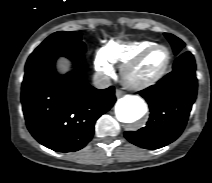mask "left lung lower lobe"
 Returning <instances> with one entry per match:
<instances>
[{
    "label": "left lung lower lobe",
    "instance_id": "1",
    "mask_svg": "<svg viewBox=\"0 0 212 183\" xmlns=\"http://www.w3.org/2000/svg\"><path fill=\"white\" fill-rule=\"evenodd\" d=\"M195 70L193 55L185 52L175 61L172 72L139 92L148 102L151 114L145 127L125 132L128 141L142 148L157 149L180 136L197 95Z\"/></svg>",
    "mask_w": 212,
    "mask_h": 183
}]
</instances>
